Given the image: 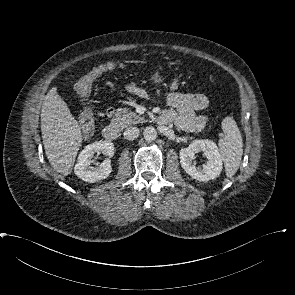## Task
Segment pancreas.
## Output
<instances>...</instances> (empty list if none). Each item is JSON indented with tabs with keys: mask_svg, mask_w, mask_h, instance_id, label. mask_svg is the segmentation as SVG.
<instances>
[{
	"mask_svg": "<svg viewBox=\"0 0 295 295\" xmlns=\"http://www.w3.org/2000/svg\"><path fill=\"white\" fill-rule=\"evenodd\" d=\"M143 120V117L130 111L129 109L119 108L114 114L112 124L123 129L131 124L141 123Z\"/></svg>",
	"mask_w": 295,
	"mask_h": 295,
	"instance_id": "obj_1",
	"label": "pancreas"
}]
</instances>
